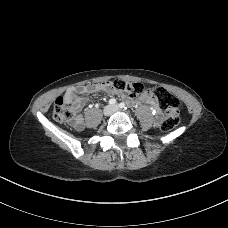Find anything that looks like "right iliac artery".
I'll list each match as a JSON object with an SVG mask.
<instances>
[{
	"label": "right iliac artery",
	"instance_id": "82829eb1",
	"mask_svg": "<svg viewBox=\"0 0 228 228\" xmlns=\"http://www.w3.org/2000/svg\"><path fill=\"white\" fill-rule=\"evenodd\" d=\"M116 102H117V101H116V99H114V98H112V99L109 100V104H110V105H114V104H116Z\"/></svg>",
	"mask_w": 228,
	"mask_h": 228
}]
</instances>
